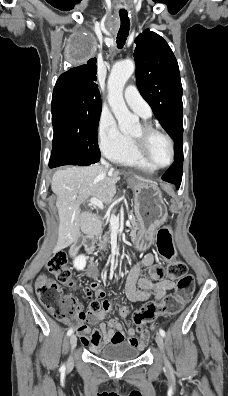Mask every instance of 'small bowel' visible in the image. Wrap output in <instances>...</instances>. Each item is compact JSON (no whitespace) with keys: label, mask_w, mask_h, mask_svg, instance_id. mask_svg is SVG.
I'll return each mask as SVG.
<instances>
[{"label":"small bowel","mask_w":228,"mask_h":396,"mask_svg":"<svg viewBox=\"0 0 228 396\" xmlns=\"http://www.w3.org/2000/svg\"><path fill=\"white\" fill-rule=\"evenodd\" d=\"M142 268H147V275H141ZM174 281L171 278H165V272L162 266L155 263V257L152 253L143 256L141 261L132 266L125 283V294L127 299L132 303L149 302L151 300L163 299L167 292L174 288ZM88 298L96 297L101 300L102 309L95 314L84 313L82 321L87 320L90 323L100 322L99 326L90 329L85 324L77 327V333L80 336L81 343L95 351L102 345L111 342H128L138 348H143L148 340V332L143 331L139 336L136 335V329L129 326L125 330L120 324L117 317L110 319L107 323L102 320L110 311V302L105 299V292L100 288L97 281L90 282L85 287ZM129 314L128 307H122L119 310L120 317H126Z\"/></svg>","instance_id":"1"}]
</instances>
